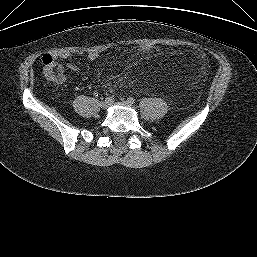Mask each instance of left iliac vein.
Instances as JSON below:
<instances>
[{
  "label": "left iliac vein",
  "mask_w": 257,
  "mask_h": 257,
  "mask_svg": "<svg viewBox=\"0 0 257 257\" xmlns=\"http://www.w3.org/2000/svg\"><path fill=\"white\" fill-rule=\"evenodd\" d=\"M121 104L126 105V106H130V105H131V103H130V102H128V101H124V100L121 102Z\"/></svg>",
  "instance_id": "obj_1"
}]
</instances>
